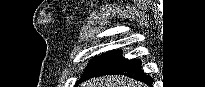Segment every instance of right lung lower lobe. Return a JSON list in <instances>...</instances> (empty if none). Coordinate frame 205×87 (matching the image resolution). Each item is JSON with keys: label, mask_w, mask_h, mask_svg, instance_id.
Wrapping results in <instances>:
<instances>
[{"label": "right lung lower lobe", "mask_w": 205, "mask_h": 87, "mask_svg": "<svg viewBox=\"0 0 205 87\" xmlns=\"http://www.w3.org/2000/svg\"><path fill=\"white\" fill-rule=\"evenodd\" d=\"M122 74L136 80H140L148 85H152L153 79L145 75L141 69L139 60H128L122 57L121 52L112 51L109 55L92 67L82 78L86 81L95 76Z\"/></svg>", "instance_id": "right-lung-lower-lobe-1"}]
</instances>
